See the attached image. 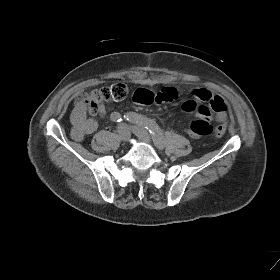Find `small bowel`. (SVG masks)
Masks as SVG:
<instances>
[{
  "instance_id": "1",
  "label": "small bowel",
  "mask_w": 280,
  "mask_h": 280,
  "mask_svg": "<svg viewBox=\"0 0 280 280\" xmlns=\"http://www.w3.org/2000/svg\"><path fill=\"white\" fill-rule=\"evenodd\" d=\"M179 92L174 87H165L160 91L154 92L148 89L139 88L133 94V100L143 105L161 104L177 99ZM192 99L182 104V109L187 113L194 114L198 119L212 120L219 123V126L226 129L227 103L218 95L213 94L207 89L199 88L192 92ZM99 114H106L105 107L100 105ZM72 132L71 135L76 141H81L86 135H89L97 129V122L93 118L86 116V110L76 106L72 112ZM187 134L191 137H197L187 129Z\"/></svg>"
}]
</instances>
